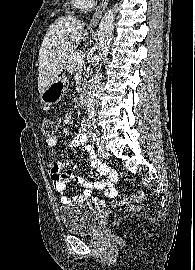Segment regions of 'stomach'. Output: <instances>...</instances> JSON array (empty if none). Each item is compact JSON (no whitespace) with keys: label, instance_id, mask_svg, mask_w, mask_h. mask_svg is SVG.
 Wrapping results in <instances>:
<instances>
[{"label":"stomach","instance_id":"stomach-1","mask_svg":"<svg viewBox=\"0 0 195 270\" xmlns=\"http://www.w3.org/2000/svg\"><path fill=\"white\" fill-rule=\"evenodd\" d=\"M67 89V78L65 76L58 77L42 93H40V101L44 105H53L64 97Z\"/></svg>","mask_w":195,"mask_h":270}]
</instances>
